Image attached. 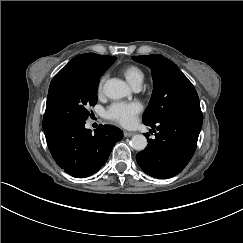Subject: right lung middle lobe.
I'll list each match as a JSON object with an SVG mask.
<instances>
[{
    "label": "right lung middle lobe",
    "mask_w": 243,
    "mask_h": 243,
    "mask_svg": "<svg viewBox=\"0 0 243 243\" xmlns=\"http://www.w3.org/2000/svg\"><path fill=\"white\" fill-rule=\"evenodd\" d=\"M113 59L99 75L82 73L61 76L51 81L43 128L67 120H86L92 116L88 108L97 102L101 75L115 62Z\"/></svg>",
    "instance_id": "obj_1"
}]
</instances>
